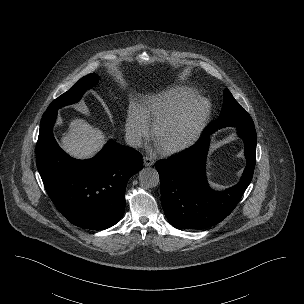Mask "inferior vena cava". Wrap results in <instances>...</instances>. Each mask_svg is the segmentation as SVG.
Wrapping results in <instances>:
<instances>
[{
	"label": "inferior vena cava",
	"mask_w": 304,
	"mask_h": 304,
	"mask_svg": "<svg viewBox=\"0 0 304 304\" xmlns=\"http://www.w3.org/2000/svg\"><path fill=\"white\" fill-rule=\"evenodd\" d=\"M126 143L133 148H138L142 144V137L136 132H128L125 136Z\"/></svg>",
	"instance_id": "602c4592"
}]
</instances>
